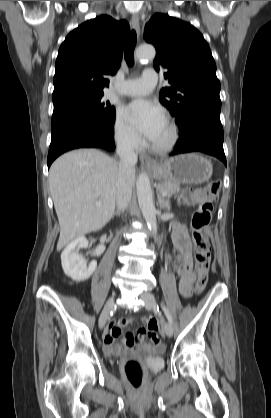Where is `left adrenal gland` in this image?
<instances>
[{
  "label": "left adrenal gland",
  "mask_w": 271,
  "mask_h": 418,
  "mask_svg": "<svg viewBox=\"0 0 271 418\" xmlns=\"http://www.w3.org/2000/svg\"><path fill=\"white\" fill-rule=\"evenodd\" d=\"M158 198V204L162 209H166L167 211H170V203L168 200L161 197V195L157 194Z\"/></svg>",
  "instance_id": "1"
}]
</instances>
